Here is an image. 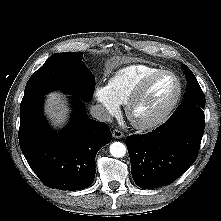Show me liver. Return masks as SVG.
<instances>
[{"instance_id": "1", "label": "liver", "mask_w": 221, "mask_h": 221, "mask_svg": "<svg viewBox=\"0 0 221 221\" xmlns=\"http://www.w3.org/2000/svg\"><path fill=\"white\" fill-rule=\"evenodd\" d=\"M62 94L51 92L47 95L45 103V112L48 114L53 125L60 126L67 119L68 108Z\"/></svg>"}]
</instances>
